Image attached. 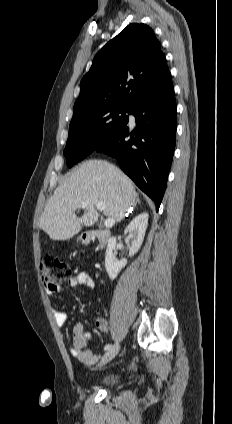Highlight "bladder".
Returning <instances> with one entry per match:
<instances>
[{
    "instance_id": "1",
    "label": "bladder",
    "mask_w": 232,
    "mask_h": 424,
    "mask_svg": "<svg viewBox=\"0 0 232 424\" xmlns=\"http://www.w3.org/2000/svg\"><path fill=\"white\" fill-rule=\"evenodd\" d=\"M120 374L116 372L109 373L105 375L101 381L100 384L104 387H113L116 385L119 381Z\"/></svg>"
}]
</instances>
